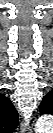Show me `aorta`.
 Returning a JSON list of instances; mask_svg holds the SVG:
<instances>
[{
  "label": "aorta",
  "mask_w": 53,
  "mask_h": 133,
  "mask_svg": "<svg viewBox=\"0 0 53 133\" xmlns=\"http://www.w3.org/2000/svg\"><path fill=\"white\" fill-rule=\"evenodd\" d=\"M51 128V118L48 115H44L39 118L36 123V131H44Z\"/></svg>",
  "instance_id": "762f6f07"
}]
</instances>
